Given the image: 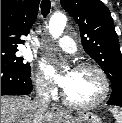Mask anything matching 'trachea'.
I'll return each mask as SVG.
<instances>
[{
	"label": "trachea",
	"mask_w": 122,
	"mask_h": 123,
	"mask_svg": "<svg viewBox=\"0 0 122 123\" xmlns=\"http://www.w3.org/2000/svg\"><path fill=\"white\" fill-rule=\"evenodd\" d=\"M40 7H41L42 15L46 16L50 12V9H51V2H50V0H42Z\"/></svg>",
	"instance_id": "3493384b"
}]
</instances>
